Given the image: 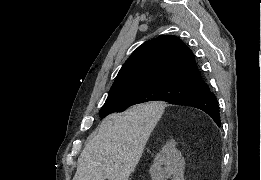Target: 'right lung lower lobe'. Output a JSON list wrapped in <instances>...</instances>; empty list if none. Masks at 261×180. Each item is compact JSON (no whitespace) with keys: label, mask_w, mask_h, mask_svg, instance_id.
Here are the masks:
<instances>
[{"label":"right lung lower lobe","mask_w":261,"mask_h":180,"mask_svg":"<svg viewBox=\"0 0 261 180\" xmlns=\"http://www.w3.org/2000/svg\"><path fill=\"white\" fill-rule=\"evenodd\" d=\"M169 103L188 105L198 108L207 113L218 126L220 125L221 121L218 100L205 82L202 83V88L200 91L178 97Z\"/></svg>","instance_id":"right-lung-lower-lobe-1"}]
</instances>
